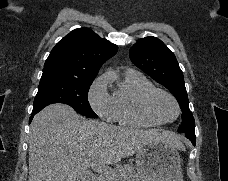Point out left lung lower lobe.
Wrapping results in <instances>:
<instances>
[{"mask_svg":"<svg viewBox=\"0 0 228 181\" xmlns=\"http://www.w3.org/2000/svg\"><path fill=\"white\" fill-rule=\"evenodd\" d=\"M185 136L192 142L193 145L196 144L195 131H185Z\"/></svg>","mask_w":228,"mask_h":181,"instance_id":"0a47b994","label":"left lung lower lobe"}]
</instances>
